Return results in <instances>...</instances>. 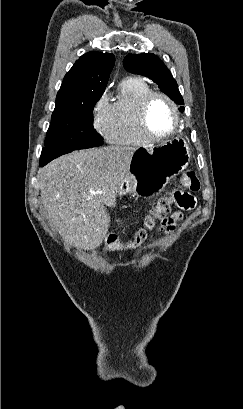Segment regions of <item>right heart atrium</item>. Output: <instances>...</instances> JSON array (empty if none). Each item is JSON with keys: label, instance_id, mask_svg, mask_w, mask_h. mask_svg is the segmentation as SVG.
<instances>
[{"label": "right heart atrium", "instance_id": "obj_1", "mask_svg": "<svg viewBox=\"0 0 243 409\" xmlns=\"http://www.w3.org/2000/svg\"><path fill=\"white\" fill-rule=\"evenodd\" d=\"M111 125V104L107 93H103L93 108V127L103 137L108 138Z\"/></svg>", "mask_w": 243, "mask_h": 409}]
</instances>
